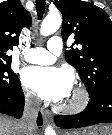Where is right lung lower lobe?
<instances>
[{"instance_id": "98d812e1", "label": "right lung lower lobe", "mask_w": 112, "mask_h": 135, "mask_svg": "<svg viewBox=\"0 0 112 135\" xmlns=\"http://www.w3.org/2000/svg\"><path fill=\"white\" fill-rule=\"evenodd\" d=\"M24 109V94L22 89L12 95L0 96V113L20 118ZM38 125H42V118L39 114Z\"/></svg>"}]
</instances>
